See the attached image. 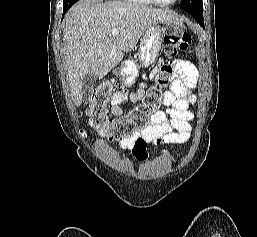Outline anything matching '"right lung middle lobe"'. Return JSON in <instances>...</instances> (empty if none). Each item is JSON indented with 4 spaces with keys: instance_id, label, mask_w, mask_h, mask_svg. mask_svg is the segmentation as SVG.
Returning a JSON list of instances; mask_svg holds the SVG:
<instances>
[{
    "instance_id": "dd1d6c3e",
    "label": "right lung middle lobe",
    "mask_w": 257,
    "mask_h": 237,
    "mask_svg": "<svg viewBox=\"0 0 257 237\" xmlns=\"http://www.w3.org/2000/svg\"><path fill=\"white\" fill-rule=\"evenodd\" d=\"M77 1L78 0H64L63 1V9L70 8Z\"/></svg>"
}]
</instances>
